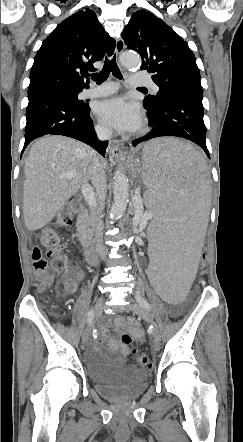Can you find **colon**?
Here are the masks:
<instances>
[{
	"mask_svg": "<svg viewBox=\"0 0 243 442\" xmlns=\"http://www.w3.org/2000/svg\"><path fill=\"white\" fill-rule=\"evenodd\" d=\"M74 212H76L75 203L63 208L58 216V224L63 227L68 226L72 221V215ZM124 227L125 229L130 230L135 227V224L127 221L125 222ZM142 241H145V238H142ZM41 244L47 250L48 256L51 258V268L56 273L64 275L69 268V260L65 254L64 245L61 243L57 233L50 229L44 230L41 233ZM208 260V255H201L200 261L197 264V274H204ZM32 264L34 275L40 281L41 287H47L52 281L53 273L50 271L48 262L42 255L39 247L33 249ZM121 340L125 345L131 343V337L128 334H123ZM132 355L138 366L145 369H150L152 367V362L144 352L134 348L132 349Z\"/></svg>",
	"mask_w": 243,
	"mask_h": 442,
	"instance_id": "colon-1",
	"label": "colon"
}]
</instances>
